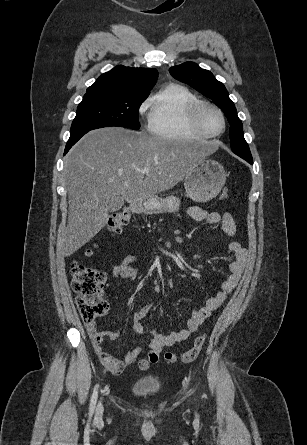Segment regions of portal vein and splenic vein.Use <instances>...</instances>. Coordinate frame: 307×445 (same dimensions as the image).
Returning a JSON list of instances; mask_svg holds the SVG:
<instances>
[{"mask_svg":"<svg viewBox=\"0 0 307 445\" xmlns=\"http://www.w3.org/2000/svg\"><path fill=\"white\" fill-rule=\"evenodd\" d=\"M140 172H145V174H146V172H149V168H142V170H140Z\"/></svg>","mask_w":307,"mask_h":445,"instance_id":"obj_1","label":"portal vein and splenic vein"}]
</instances>
